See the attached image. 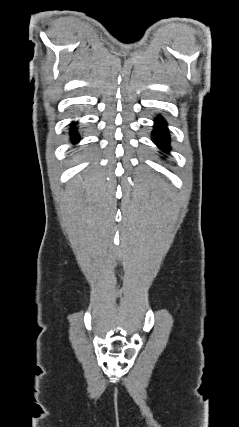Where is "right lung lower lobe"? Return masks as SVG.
Segmentation results:
<instances>
[{
	"instance_id": "98d812e1",
	"label": "right lung lower lobe",
	"mask_w": 239,
	"mask_h": 427,
	"mask_svg": "<svg viewBox=\"0 0 239 427\" xmlns=\"http://www.w3.org/2000/svg\"><path fill=\"white\" fill-rule=\"evenodd\" d=\"M71 139L73 143H77L79 141V134L75 129V124H73L70 128Z\"/></svg>"
}]
</instances>
